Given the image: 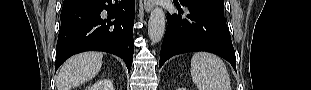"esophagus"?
<instances>
[{
	"label": "esophagus",
	"mask_w": 311,
	"mask_h": 90,
	"mask_svg": "<svg viewBox=\"0 0 311 90\" xmlns=\"http://www.w3.org/2000/svg\"><path fill=\"white\" fill-rule=\"evenodd\" d=\"M143 4L145 12H150L154 6V0H144Z\"/></svg>",
	"instance_id": "1"
}]
</instances>
